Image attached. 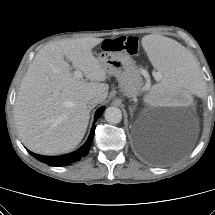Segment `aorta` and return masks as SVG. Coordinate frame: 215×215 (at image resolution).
<instances>
[{"label": "aorta", "instance_id": "obj_1", "mask_svg": "<svg viewBox=\"0 0 215 215\" xmlns=\"http://www.w3.org/2000/svg\"><path fill=\"white\" fill-rule=\"evenodd\" d=\"M104 117L110 124H118L122 120V112L118 107L110 106L105 110Z\"/></svg>", "mask_w": 215, "mask_h": 215}]
</instances>
